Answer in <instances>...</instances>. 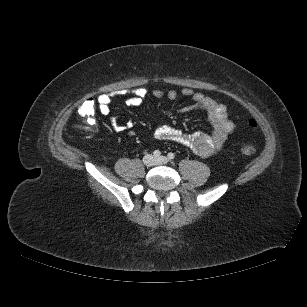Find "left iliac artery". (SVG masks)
Returning <instances> with one entry per match:
<instances>
[{
	"label": "left iliac artery",
	"instance_id": "left-iliac-artery-1",
	"mask_svg": "<svg viewBox=\"0 0 307 307\" xmlns=\"http://www.w3.org/2000/svg\"><path fill=\"white\" fill-rule=\"evenodd\" d=\"M167 156H168V158H169L170 160H173V159L175 158V154L172 153V152L168 153Z\"/></svg>",
	"mask_w": 307,
	"mask_h": 307
}]
</instances>
